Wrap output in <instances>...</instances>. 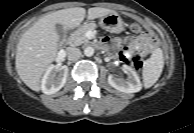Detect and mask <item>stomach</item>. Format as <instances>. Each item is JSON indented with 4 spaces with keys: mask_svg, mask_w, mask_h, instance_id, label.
<instances>
[{
    "mask_svg": "<svg viewBox=\"0 0 194 133\" xmlns=\"http://www.w3.org/2000/svg\"><path fill=\"white\" fill-rule=\"evenodd\" d=\"M99 25L103 29L113 33H120L124 29L123 21L117 13H112L101 17L99 20Z\"/></svg>",
    "mask_w": 194,
    "mask_h": 133,
    "instance_id": "0dacf381",
    "label": "stomach"
}]
</instances>
